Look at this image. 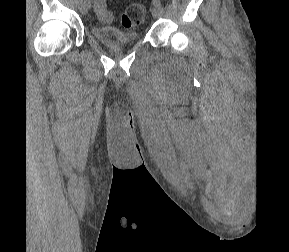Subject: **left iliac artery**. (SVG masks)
Masks as SVG:
<instances>
[{
  "instance_id": "44dca946",
  "label": "left iliac artery",
  "mask_w": 289,
  "mask_h": 252,
  "mask_svg": "<svg viewBox=\"0 0 289 252\" xmlns=\"http://www.w3.org/2000/svg\"><path fill=\"white\" fill-rule=\"evenodd\" d=\"M153 5L161 6L160 0H152Z\"/></svg>"
}]
</instances>
